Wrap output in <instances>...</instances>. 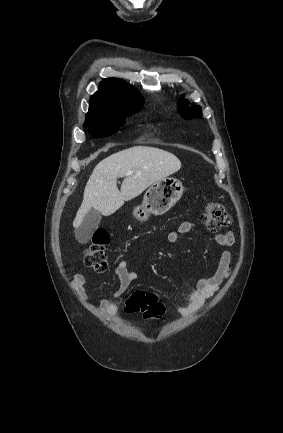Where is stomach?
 Segmentation results:
<instances>
[{
  "label": "stomach",
  "mask_w": 283,
  "mask_h": 433,
  "mask_svg": "<svg viewBox=\"0 0 283 433\" xmlns=\"http://www.w3.org/2000/svg\"><path fill=\"white\" fill-rule=\"evenodd\" d=\"M184 186L181 180L173 176H165L161 180H156L143 196L142 204L135 206L134 217L145 221L149 214H163L169 210L183 194Z\"/></svg>",
  "instance_id": "1"
}]
</instances>
